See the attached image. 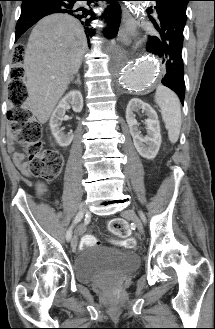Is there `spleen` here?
I'll return each mask as SVG.
<instances>
[{
	"mask_svg": "<svg viewBox=\"0 0 215 329\" xmlns=\"http://www.w3.org/2000/svg\"><path fill=\"white\" fill-rule=\"evenodd\" d=\"M155 102L159 106L168 138L171 143H176L181 129V109L177 95L164 86H158L155 93Z\"/></svg>",
	"mask_w": 215,
	"mask_h": 329,
	"instance_id": "3e777b00",
	"label": "spleen"
}]
</instances>
